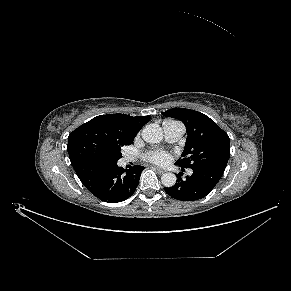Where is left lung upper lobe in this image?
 <instances>
[{
	"instance_id": "5c2ea615",
	"label": "left lung upper lobe",
	"mask_w": 291,
	"mask_h": 291,
	"mask_svg": "<svg viewBox=\"0 0 291 291\" xmlns=\"http://www.w3.org/2000/svg\"><path fill=\"white\" fill-rule=\"evenodd\" d=\"M162 114L182 121L187 129L182 158L176 164L182 168L226 167L230 157L229 137L212 119L203 113L185 108H173Z\"/></svg>"
}]
</instances>
